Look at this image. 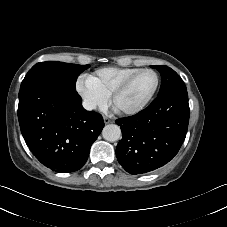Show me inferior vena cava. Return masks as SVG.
Wrapping results in <instances>:
<instances>
[{
  "label": "inferior vena cava",
  "instance_id": "inferior-vena-cava-1",
  "mask_svg": "<svg viewBox=\"0 0 227 227\" xmlns=\"http://www.w3.org/2000/svg\"><path fill=\"white\" fill-rule=\"evenodd\" d=\"M83 107L86 110L91 111V110H94L96 108V105L93 102L89 101V100H84L83 101Z\"/></svg>",
  "mask_w": 227,
  "mask_h": 227
}]
</instances>
